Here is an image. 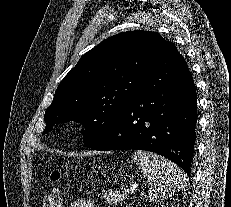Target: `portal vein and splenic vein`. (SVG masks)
<instances>
[{
    "label": "portal vein and splenic vein",
    "mask_w": 231,
    "mask_h": 207,
    "mask_svg": "<svg viewBox=\"0 0 231 207\" xmlns=\"http://www.w3.org/2000/svg\"><path fill=\"white\" fill-rule=\"evenodd\" d=\"M137 185H133L130 189L127 190L128 193H134L136 191Z\"/></svg>",
    "instance_id": "obj_1"
}]
</instances>
